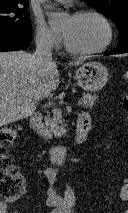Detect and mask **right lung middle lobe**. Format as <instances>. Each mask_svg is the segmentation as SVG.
Segmentation results:
<instances>
[{
    "label": "right lung middle lobe",
    "mask_w": 128,
    "mask_h": 213,
    "mask_svg": "<svg viewBox=\"0 0 128 213\" xmlns=\"http://www.w3.org/2000/svg\"><path fill=\"white\" fill-rule=\"evenodd\" d=\"M22 5L0 6V35H31L28 10L26 4Z\"/></svg>",
    "instance_id": "obj_1"
}]
</instances>
